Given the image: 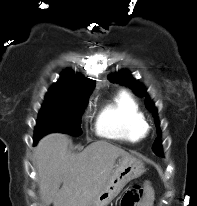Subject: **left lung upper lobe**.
<instances>
[{"label":"left lung upper lobe","instance_id":"1","mask_svg":"<svg viewBox=\"0 0 197 206\" xmlns=\"http://www.w3.org/2000/svg\"><path fill=\"white\" fill-rule=\"evenodd\" d=\"M108 79L112 82H117L123 85H126L128 87H130L137 95L139 96H146V90L144 88V86L138 82L137 80H135L128 71L123 70V71H119L115 74H111L109 75ZM146 107L148 108L149 111H151L153 113L154 119H155V123L157 126V134L158 137L155 140V143L153 144V151L158 155V156H163L162 155V146H161V141H160V130H159V121H158V117H157V111L156 108L154 106V104L152 103V101L147 97L146 99Z\"/></svg>","mask_w":197,"mask_h":206}]
</instances>
